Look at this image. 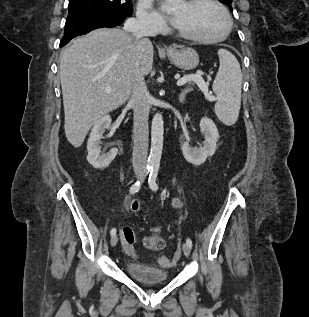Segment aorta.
I'll use <instances>...</instances> for the list:
<instances>
[{
	"instance_id": "aorta-1",
	"label": "aorta",
	"mask_w": 309,
	"mask_h": 317,
	"mask_svg": "<svg viewBox=\"0 0 309 317\" xmlns=\"http://www.w3.org/2000/svg\"><path fill=\"white\" fill-rule=\"evenodd\" d=\"M167 7L171 8L174 4L181 0H165ZM163 117L157 113L154 115L151 126V150L148 158V164L151 167L160 165L162 150H163Z\"/></svg>"
}]
</instances>
